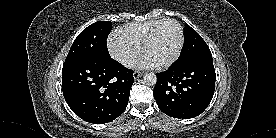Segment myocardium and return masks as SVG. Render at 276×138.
<instances>
[{
  "label": "myocardium",
  "instance_id": "obj_1",
  "mask_svg": "<svg viewBox=\"0 0 276 138\" xmlns=\"http://www.w3.org/2000/svg\"><path fill=\"white\" fill-rule=\"evenodd\" d=\"M166 23H173L177 26V28L179 29L180 32V43L178 46V49L175 53V55L166 63H163L161 65H156L155 67L157 69H167L170 66H172L180 57L183 47H184V43H185V32H184V28L183 26L175 19H163L161 22H159L149 33L148 37L146 38V40L144 41L142 47H141V52L144 55L145 51L147 50V48L152 44V42L154 41L156 34L158 32V30L160 29V27Z\"/></svg>",
  "mask_w": 276,
  "mask_h": 138
}]
</instances>
